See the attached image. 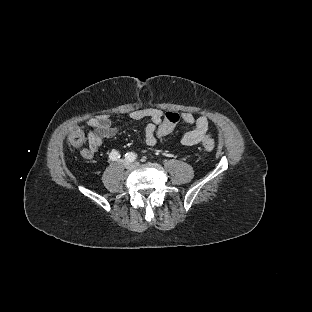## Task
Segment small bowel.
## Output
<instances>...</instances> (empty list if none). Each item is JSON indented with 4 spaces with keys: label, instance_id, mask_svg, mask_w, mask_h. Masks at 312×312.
<instances>
[{
    "label": "small bowel",
    "instance_id": "obj_1",
    "mask_svg": "<svg viewBox=\"0 0 312 312\" xmlns=\"http://www.w3.org/2000/svg\"><path fill=\"white\" fill-rule=\"evenodd\" d=\"M165 114L163 110L158 108H145L130 111L128 117L131 120L149 119L144 130V142L147 146H154L158 138L156 128L163 122ZM180 115L184 123L193 125V129L182 136L181 142L183 145L194 146L210 136L208 132L209 119L205 115L195 116L189 111H183ZM86 125L89 128L88 145L81 150L80 155L82 159L89 161L94 157L103 141L113 137L117 133V129L112 125L107 115H98L90 118L87 120Z\"/></svg>",
    "mask_w": 312,
    "mask_h": 312
}]
</instances>
